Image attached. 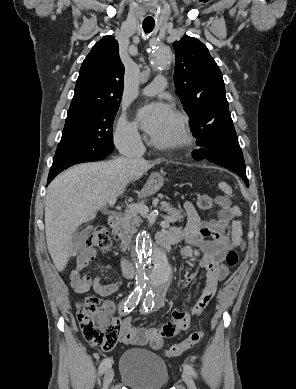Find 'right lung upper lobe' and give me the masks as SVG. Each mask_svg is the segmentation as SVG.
Here are the masks:
<instances>
[{
    "mask_svg": "<svg viewBox=\"0 0 296 389\" xmlns=\"http://www.w3.org/2000/svg\"><path fill=\"white\" fill-rule=\"evenodd\" d=\"M124 71L117 40L113 36L100 39L82 63L66 119L84 116L97 108L119 106Z\"/></svg>",
    "mask_w": 296,
    "mask_h": 389,
    "instance_id": "right-lung-upper-lobe-1",
    "label": "right lung upper lobe"
}]
</instances>
